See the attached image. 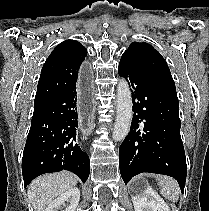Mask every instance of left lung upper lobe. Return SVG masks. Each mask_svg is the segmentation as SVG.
Listing matches in <instances>:
<instances>
[{"instance_id": "obj_1", "label": "left lung upper lobe", "mask_w": 209, "mask_h": 211, "mask_svg": "<svg viewBox=\"0 0 209 211\" xmlns=\"http://www.w3.org/2000/svg\"><path fill=\"white\" fill-rule=\"evenodd\" d=\"M122 57L131 60L141 71L153 79L175 88L166 61L151 45L145 42H132Z\"/></svg>"}]
</instances>
